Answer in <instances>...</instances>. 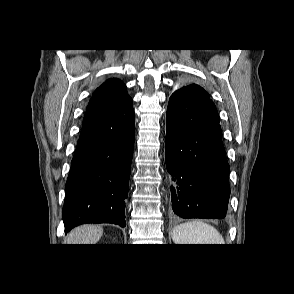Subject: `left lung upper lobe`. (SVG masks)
<instances>
[{
	"instance_id": "left-lung-upper-lobe-1",
	"label": "left lung upper lobe",
	"mask_w": 294,
	"mask_h": 294,
	"mask_svg": "<svg viewBox=\"0 0 294 294\" xmlns=\"http://www.w3.org/2000/svg\"><path fill=\"white\" fill-rule=\"evenodd\" d=\"M172 95L184 96L195 100L212 101L206 91L196 84L185 85L175 91Z\"/></svg>"
}]
</instances>
